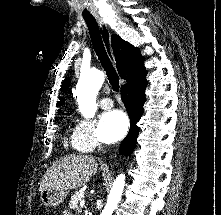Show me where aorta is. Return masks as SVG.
<instances>
[{
    "mask_svg": "<svg viewBox=\"0 0 221 215\" xmlns=\"http://www.w3.org/2000/svg\"><path fill=\"white\" fill-rule=\"evenodd\" d=\"M104 73L99 70L91 71L88 74L80 76L76 86V96L79 105V111L85 118L94 117L97 104V94L104 83ZM125 175L120 174L116 177L112 189L108 195L107 203L101 215H112L116 209L124 190Z\"/></svg>",
    "mask_w": 221,
    "mask_h": 215,
    "instance_id": "1",
    "label": "aorta"
}]
</instances>
